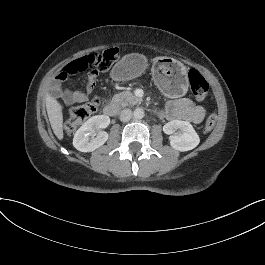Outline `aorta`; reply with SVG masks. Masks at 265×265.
<instances>
[{
    "mask_svg": "<svg viewBox=\"0 0 265 265\" xmlns=\"http://www.w3.org/2000/svg\"><path fill=\"white\" fill-rule=\"evenodd\" d=\"M144 115V110L142 108H136L133 112V116L136 119H142Z\"/></svg>",
    "mask_w": 265,
    "mask_h": 265,
    "instance_id": "aorta-1",
    "label": "aorta"
}]
</instances>
